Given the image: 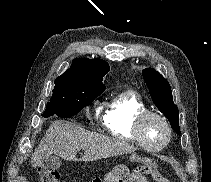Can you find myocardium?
<instances>
[{"mask_svg":"<svg viewBox=\"0 0 211 182\" xmlns=\"http://www.w3.org/2000/svg\"><path fill=\"white\" fill-rule=\"evenodd\" d=\"M149 117L159 118L164 123L166 130H167L166 139L164 140L163 143H161L158 146L148 145L145 142L143 135H142L143 124H144L145 120ZM133 133H134V137H135L137 143L141 147H143L147 150H150V151H160L170 143L171 138H172V127H171L170 122L167 119V117L165 115H163L162 113L157 112V111H153V110H145L137 116L135 123H134Z\"/></svg>","mask_w":211,"mask_h":182,"instance_id":"obj_1","label":"myocardium"}]
</instances>
